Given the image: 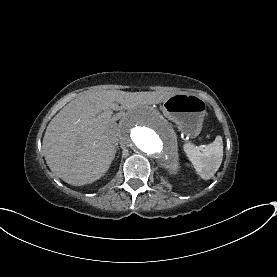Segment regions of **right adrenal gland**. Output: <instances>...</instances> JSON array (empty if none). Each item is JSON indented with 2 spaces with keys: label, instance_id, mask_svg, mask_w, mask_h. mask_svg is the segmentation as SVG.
Returning <instances> with one entry per match:
<instances>
[{
  "label": "right adrenal gland",
  "instance_id": "1",
  "mask_svg": "<svg viewBox=\"0 0 277 277\" xmlns=\"http://www.w3.org/2000/svg\"><path fill=\"white\" fill-rule=\"evenodd\" d=\"M116 150H117V157L115 160L117 161L120 157V149H119L118 145H116Z\"/></svg>",
  "mask_w": 277,
  "mask_h": 277
}]
</instances>
